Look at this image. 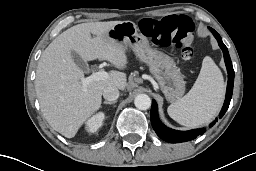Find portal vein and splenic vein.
I'll use <instances>...</instances> for the list:
<instances>
[{
    "label": "portal vein and splenic vein",
    "instance_id": "18ae733b",
    "mask_svg": "<svg viewBox=\"0 0 256 171\" xmlns=\"http://www.w3.org/2000/svg\"><path fill=\"white\" fill-rule=\"evenodd\" d=\"M108 78H109V73L105 72V71L94 72L90 76H88L86 78H82L81 83H82L84 92H86V86L89 83H91L93 81L105 80Z\"/></svg>",
    "mask_w": 256,
    "mask_h": 171
}]
</instances>
